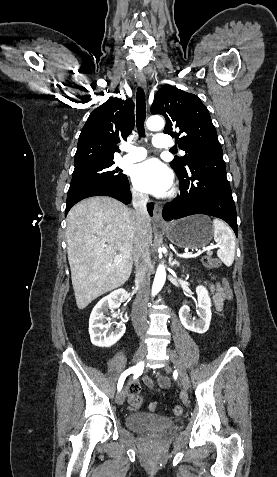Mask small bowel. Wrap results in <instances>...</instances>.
I'll use <instances>...</instances> for the list:
<instances>
[{"mask_svg":"<svg viewBox=\"0 0 277 477\" xmlns=\"http://www.w3.org/2000/svg\"><path fill=\"white\" fill-rule=\"evenodd\" d=\"M209 285V288L212 292V297H213V301H214V304H215V307L217 309V311H222L223 309V303L225 301V296H224V291H223V287H221L220 285L218 284H208ZM143 381L144 383L147 385V386H152L153 385V382L152 380L149 378V377H143ZM158 383L162 386V387H167L169 385V381L167 378L165 377H159L158 378ZM131 385H134L136 386V388L138 389L139 391V385L135 382H133Z\"/></svg>","mask_w":277,"mask_h":477,"instance_id":"small-bowel-1","label":"small bowel"}]
</instances>
